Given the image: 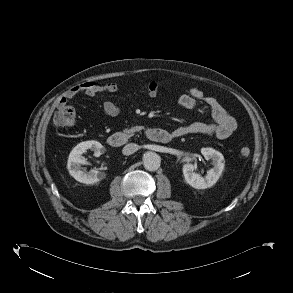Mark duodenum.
I'll return each mask as SVG.
<instances>
[{
    "mask_svg": "<svg viewBox=\"0 0 293 293\" xmlns=\"http://www.w3.org/2000/svg\"><path fill=\"white\" fill-rule=\"evenodd\" d=\"M145 135L149 140L158 143H168L174 137L171 133L161 128H149L145 131ZM129 139V134L115 132L108 137L107 142L112 147H121L128 143Z\"/></svg>",
    "mask_w": 293,
    "mask_h": 293,
    "instance_id": "1",
    "label": "duodenum"
}]
</instances>
